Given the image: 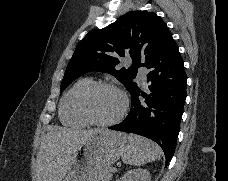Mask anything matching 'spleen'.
Returning a JSON list of instances; mask_svg holds the SVG:
<instances>
[{
	"instance_id": "3e777b00",
	"label": "spleen",
	"mask_w": 228,
	"mask_h": 181,
	"mask_svg": "<svg viewBox=\"0 0 228 181\" xmlns=\"http://www.w3.org/2000/svg\"><path fill=\"white\" fill-rule=\"evenodd\" d=\"M122 161L126 165H134L141 167L151 161H160L162 149L156 143H152L149 139H143L139 135H129L128 145L122 149Z\"/></svg>"
}]
</instances>
